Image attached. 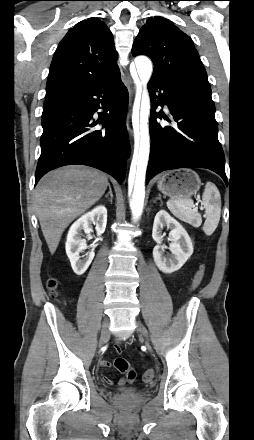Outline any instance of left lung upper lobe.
Masks as SVG:
<instances>
[{"label": "left lung upper lobe", "mask_w": 254, "mask_h": 440, "mask_svg": "<svg viewBox=\"0 0 254 440\" xmlns=\"http://www.w3.org/2000/svg\"><path fill=\"white\" fill-rule=\"evenodd\" d=\"M132 54L147 55L153 75L178 94H191L214 104L205 68L189 36L160 16L148 18L133 44Z\"/></svg>", "instance_id": "obj_1"}]
</instances>
